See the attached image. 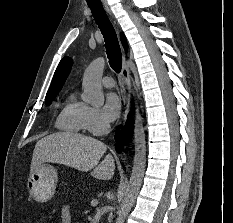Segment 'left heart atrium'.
Masks as SVG:
<instances>
[{
	"label": "left heart atrium",
	"mask_w": 233,
	"mask_h": 223,
	"mask_svg": "<svg viewBox=\"0 0 233 223\" xmlns=\"http://www.w3.org/2000/svg\"><path fill=\"white\" fill-rule=\"evenodd\" d=\"M104 111L106 117L110 121H114L120 117L122 111V104L117 95L111 94L108 96L105 103Z\"/></svg>",
	"instance_id": "obj_1"
}]
</instances>
